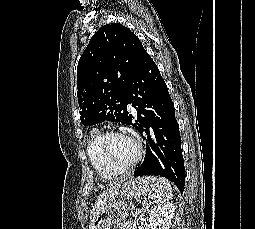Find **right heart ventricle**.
<instances>
[{"mask_svg":"<svg viewBox=\"0 0 255 229\" xmlns=\"http://www.w3.org/2000/svg\"><path fill=\"white\" fill-rule=\"evenodd\" d=\"M100 132L98 129L93 128L90 132L88 141H87V147H86V152L88 156V160L95 170V172L102 178L104 179H113L116 176H118L120 173L115 172L108 168L96 155L95 153V143L97 139L100 136Z\"/></svg>","mask_w":255,"mask_h":229,"instance_id":"right-heart-ventricle-1","label":"right heart ventricle"}]
</instances>
